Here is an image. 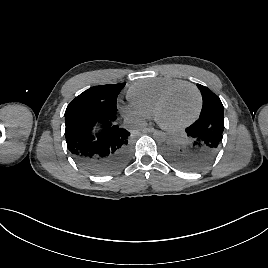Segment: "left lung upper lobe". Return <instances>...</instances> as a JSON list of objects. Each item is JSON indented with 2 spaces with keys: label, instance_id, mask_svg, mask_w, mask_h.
<instances>
[{
  "label": "left lung upper lobe",
  "instance_id": "obj_1",
  "mask_svg": "<svg viewBox=\"0 0 268 268\" xmlns=\"http://www.w3.org/2000/svg\"><path fill=\"white\" fill-rule=\"evenodd\" d=\"M197 87L201 91L203 98V106L199 119L217 115L224 117L223 105L219 97L203 85L197 84Z\"/></svg>",
  "mask_w": 268,
  "mask_h": 268
}]
</instances>
